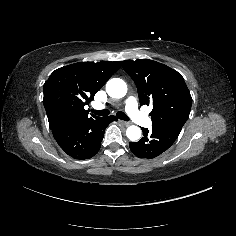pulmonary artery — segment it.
<instances>
[{"mask_svg": "<svg viewBox=\"0 0 236 236\" xmlns=\"http://www.w3.org/2000/svg\"><path fill=\"white\" fill-rule=\"evenodd\" d=\"M122 105L125 107L127 114L131 115L138 125L150 126L152 124V119L146 117V115L138 109V102L135 98L126 99Z\"/></svg>", "mask_w": 236, "mask_h": 236, "instance_id": "pulmonary-artery-1", "label": "pulmonary artery"}]
</instances>
